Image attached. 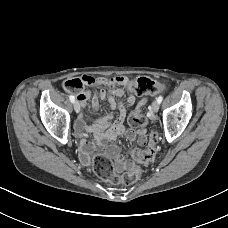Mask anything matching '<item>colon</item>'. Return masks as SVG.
Listing matches in <instances>:
<instances>
[{
	"instance_id": "1",
	"label": "colon",
	"mask_w": 228,
	"mask_h": 228,
	"mask_svg": "<svg viewBox=\"0 0 228 228\" xmlns=\"http://www.w3.org/2000/svg\"><path fill=\"white\" fill-rule=\"evenodd\" d=\"M113 83H122L119 77L111 78ZM128 84L134 89L135 93L138 95L156 94L163 90V85L151 78L140 77L137 80L128 81ZM85 83L82 79H70L65 81L64 88L66 91L74 94H80L84 91ZM129 125L132 128L143 127L147 124V119L140 112H133L129 117ZM157 133L151 131L148 136L146 148L144 150L133 149L131 155L135 161L138 163H147L152 161L156 155V143H157ZM93 169L95 173L103 180L110 183H121L124 185H132L136 183L142 174V170L139 165L132 164L127 170L122 174L118 175L115 172L113 162L103 154H97L93 159Z\"/></svg>"
}]
</instances>
